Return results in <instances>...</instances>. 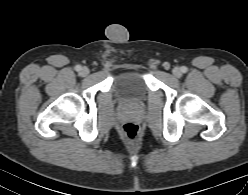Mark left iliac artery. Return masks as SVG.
<instances>
[{"instance_id":"44dca946","label":"left iliac artery","mask_w":248,"mask_h":195,"mask_svg":"<svg viewBox=\"0 0 248 195\" xmlns=\"http://www.w3.org/2000/svg\"><path fill=\"white\" fill-rule=\"evenodd\" d=\"M181 71H182L183 73H186V72H187V68H186L185 66H182V67H181Z\"/></svg>"}]
</instances>
